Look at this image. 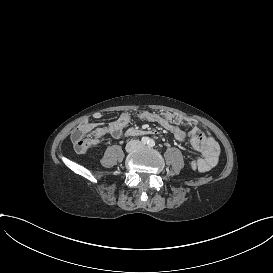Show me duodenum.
Segmentation results:
<instances>
[{"instance_id":"duodenum-1","label":"duodenum","mask_w":273,"mask_h":273,"mask_svg":"<svg viewBox=\"0 0 273 273\" xmlns=\"http://www.w3.org/2000/svg\"><path fill=\"white\" fill-rule=\"evenodd\" d=\"M154 131L150 130H143V129H138V128H129L126 132L127 136H141V135H146V134H153Z\"/></svg>"}]
</instances>
